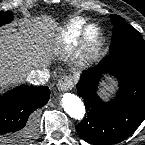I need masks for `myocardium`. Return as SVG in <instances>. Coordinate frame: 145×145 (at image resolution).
I'll return each instance as SVG.
<instances>
[{"instance_id": "obj_1", "label": "myocardium", "mask_w": 145, "mask_h": 145, "mask_svg": "<svg viewBox=\"0 0 145 145\" xmlns=\"http://www.w3.org/2000/svg\"><path fill=\"white\" fill-rule=\"evenodd\" d=\"M103 40V32L97 24L84 25L80 34V53L83 59L95 58L102 48Z\"/></svg>"}]
</instances>
